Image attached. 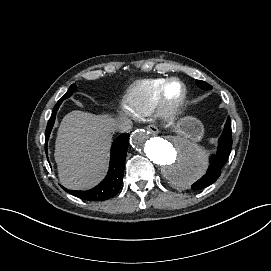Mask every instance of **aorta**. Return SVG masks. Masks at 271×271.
<instances>
[{
    "label": "aorta",
    "mask_w": 271,
    "mask_h": 271,
    "mask_svg": "<svg viewBox=\"0 0 271 271\" xmlns=\"http://www.w3.org/2000/svg\"><path fill=\"white\" fill-rule=\"evenodd\" d=\"M131 145L145 154L175 185L191 184L206 166L203 149L187 135L178 134L164 139L151 137L146 130L138 129L131 136Z\"/></svg>",
    "instance_id": "aorta-1"
}]
</instances>
